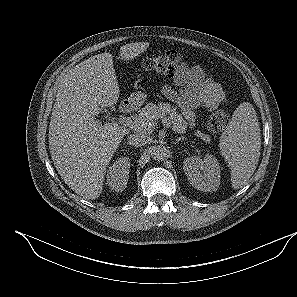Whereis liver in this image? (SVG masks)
I'll return each instance as SVG.
<instances>
[{
  "label": "liver",
  "instance_id": "liver-1",
  "mask_svg": "<svg viewBox=\"0 0 297 297\" xmlns=\"http://www.w3.org/2000/svg\"><path fill=\"white\" fill-rule=\"evenodd\" d=\"M148 47V42L126 44L120 56L132 60ZM119 93L109 52L79 63L59 85L49 125L51 158L63 181L85 199L102 193L109 162L129 132L116 123L102 125L96 120L102 107L117 103Z\"/></svg>",
  "mask_w": 297,
  "mask_h": 297
}]
</instances>
